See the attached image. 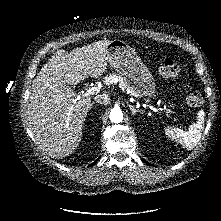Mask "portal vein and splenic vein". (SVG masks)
Wrapping results in <instances>:
<instances>
[{
	"mask_svg": "<svg viewBox=\"0 0 221 221\" xmlns=\"http://www.w3.org/2000/svg\"><path fill=\"white\" fill-rule=\"evenodd\" d=\"M100 91V88L99 87H91V88H89L83 95H82V97H87V96H90V95H94V94H96V93H98ZM152 110H154V111H157V110H161V111H167L168 112V110L166 109V108H158V109H156V108H154V107H152V106H150V105H148Z\"/></svg>",
	"mask_w": 221,
	"mask_h": 221,
	"instance_id": "1",
	"label": "portal vein and splenic vein"
}]
</instances>
